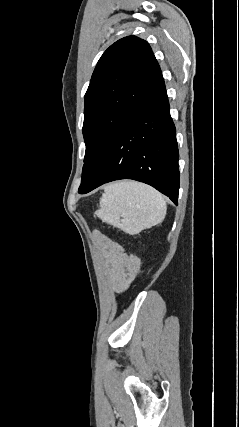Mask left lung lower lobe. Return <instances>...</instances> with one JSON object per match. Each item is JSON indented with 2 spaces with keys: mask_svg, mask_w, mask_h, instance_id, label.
Returning <instances> with one entry per match:
<instances>
[{
  "mask_svg": "<svg viewBox=\"0 0 239 427\" xmlns=\"http://www.w3.org/2000/svg\"><path fill=\"white\" fill-rule=\"evenodd\" d=\"M178 158L176 129L163 84L117 132L91 182L79 193L114 180L133 179L153 186L177 205Z\"/></svg>",
  "mask_w": 239,
  "mask_h": 427,
  "instance_id": "left-lung-lower-lobe-1",
  "label": "left lung lower lobe"
}]
</instances>
